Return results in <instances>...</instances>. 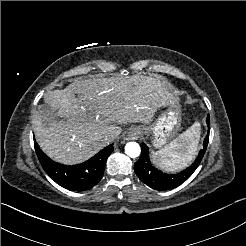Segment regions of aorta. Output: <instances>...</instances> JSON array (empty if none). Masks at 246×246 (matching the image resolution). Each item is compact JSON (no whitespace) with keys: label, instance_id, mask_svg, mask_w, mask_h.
<instances>
[{"label":"aorta","instance_id":"762f6f07","mask_svg":"<svg viewBox=\"0 0 246 246\" xmlns=\"http://www.w3.org/2000/svg\"><path fill=\"white\" fill-rule=\"evenodd\" d=\"M125 153L131 158H136L140 155L141 148L136 142H128L125 145Z\"/></svg>","mask_w":246,"mask_h":246}]
</instances>
